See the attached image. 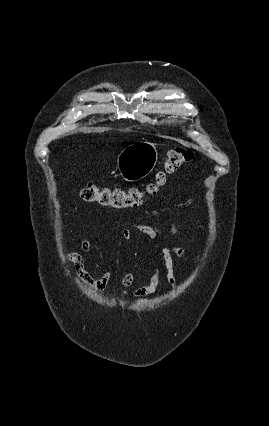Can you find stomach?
I'll use <instances>...</instances> for the list:
<instances>
[{"label": "stomach", "mask_w": 269, "mask_h": 426, "mask_svg": "<svg viewBox=\"0 0 269 426\" xmlns=\"http://www.w3.org/2000/svg\"><path fill=\"white\" fill-rule=\"evenodd\" d=\"M158 160L154 143L138 141L125 147L117 158L119 175L128 182L139 181L148 176Z\"/></svg>", "instance_id": "obj_1"}]
</instances>
